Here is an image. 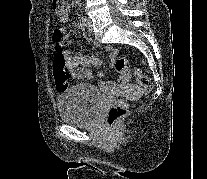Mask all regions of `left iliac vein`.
<instances>
[{"mask_svg": "<svg viewBox=\"0 0 207 179\" xmlns=\"http://www.w3.org/2000/svg\"><path fill=\"white\" fill-rule=\"evenodd\" d=\"M86 19H87L88 31L92 32L93 31V27H92L91 19H89V18H86Z\"/></svg>", "mask_w": 207, "mask_h": 179, "instance_id": "left-iliac-vein-1", "label": "left iliac vein"}]
</instances>
